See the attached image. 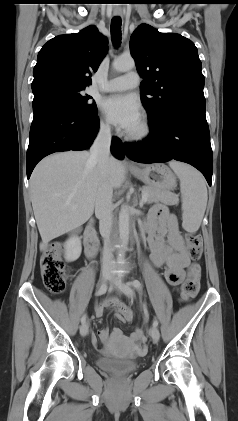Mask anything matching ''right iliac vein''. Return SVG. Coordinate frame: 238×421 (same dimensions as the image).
<instances>
[{
	"instance_id": "obj_1",
	"label": "right iliac vein",
	"mask_w": 238,
	"mask_h": 421,
	"mask_svg": "<svg viewBox=\"0 0 238 421\" xmlns=\"http://www.w3.org/2000/svg\"><path fill=\"white\" fill-rule=\"evenodd\" d=\"M109 276V269L104 267L101 272V283H105ZM80 334L86 336L88 334V323L85 322L80 327Z\"/></svg>"
}]
</instances>
